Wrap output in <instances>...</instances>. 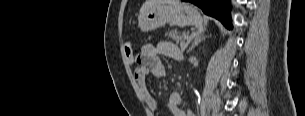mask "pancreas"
<instances>
[{
	"mask_svg": "<svg viewBox=\"0 0 305 116\" xmlns=\"http://www.w3.org/2000/svg\"><path fill=\"white\" fill-rule=\"evenodd\" d=\"M166 36L171 38L172 40L176 41L177 43L180 42V46L182 50L187 47V43H185V37H189L186 33H179L176 29L169 31Z\"/></svg>",
	"mask_w": 305,
	"mask_h": 116,
	"instance_id": "1",
	"label": "pancreas"
}]
</instances>
